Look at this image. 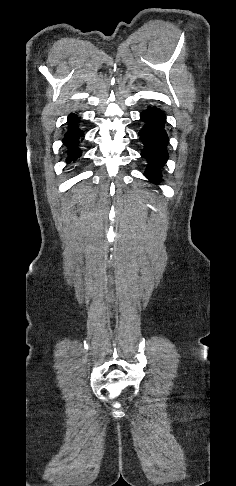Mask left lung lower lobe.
Here are the masks:
<instances>
[{
    "mask_svg": "<svg viewBox=\"0 0 236 486\" xmlns=\"http://www.w3.org/2000/svg\"><path fill=\"white\" fill-rule=\"evenodd\" d=\"M140 117L145 122L139 132L144 144L141 155L148 162L144 175L150 181L159 183L162 180L161 168L169 157L168 135L165 131L166 116L161 109L149 106L140 114Z\"/></svg>",
    "mask_w": 236,
    "mask_h": 486,
    "instance_id": "obj_1",
    "label": "left lung lower lobe"
}]
</instances>
